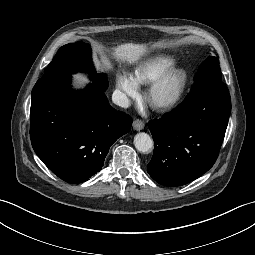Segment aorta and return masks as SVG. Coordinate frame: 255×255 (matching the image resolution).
I'll return each instance as SVG.
<instances>
[{
    "label": "aorta",
    "instance_id": "aorta-1",
    "mask_svg": "<svg viewBox=\"0 0 255 255\" xmlns=\"http://www.w3.org/2000/svg\"><path fill=\"white\" fill-rule=\"evenodd\" d=\"M134 145L139 152L148 153L153 148V140L147 133L141 132L135 135Z\"/></svg>",
    "mask_w": 255,
    "mask_h": 255
}]
</instances>
